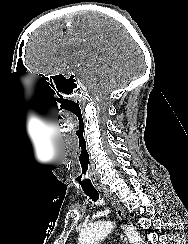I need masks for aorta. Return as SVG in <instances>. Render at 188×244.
Segmentation results:
<instances>
[{
  "mask_svg": "<svg viewBox=\"0 0 188 244\" xmlns=\"http://www.w3.org/2000/svg\"><path fill=\"white\" fill-rule=\"evenodd\" d=\"M114 229L112 222H99L81 229L79 244H98L100 240L109 235ZM130 244H142L139 232L132 226H124Z\"/></svg>",
  "mask_w": 188,
  "mask_h": 244,
  "instance_id": "762f6f07",
  "label": "aorta"
}]
</instances>
